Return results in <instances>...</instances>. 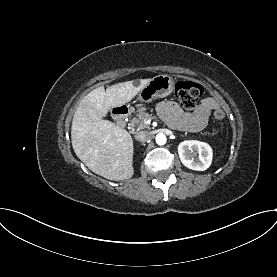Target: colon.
<instances>
[{
    "label": "colon",
    "instance_id": "5ec220e1",
    "mask_svg": "<svg viewBox=\"0 0 277 277\" xmlns=\"http://www.w3.org/2000/svg\"><path fill=\"white\" fill-rule=\"evenodd\" d=\"M203 94V88L200 84L192 81H179L175 85V96L179 102L188 109L195 106ZM225 115L220 109L214 112V118L217 121H223Z\"/></svg>",
    "mask_w": 277,
    "mask_h": 277
}]
</instances>
